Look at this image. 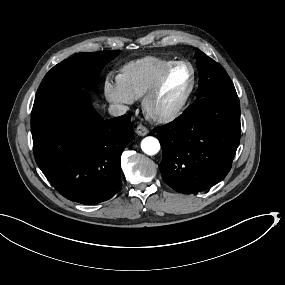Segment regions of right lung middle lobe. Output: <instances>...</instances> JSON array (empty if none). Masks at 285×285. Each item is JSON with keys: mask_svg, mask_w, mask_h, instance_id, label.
I'll list each match as a JSON object with an SVG mask.
<instances>
[{"mask_svg": "<svg viewBox=\"0 0 285 285\" xmlns=\"http://www.w3.org/2000/svg\"><path fill=\"white\" fill-rule=\"evenodd\" d=\"M119 53L120 50L79 53L62 61L45 75L35 99L67 85L94 88L104 66Z\"/></svg>", "mask_w": 285, "mask_h": 285, "instance_id": "right-lung-middle-lobe-1", "label": "right lung middle lobe"}]
</instances>
